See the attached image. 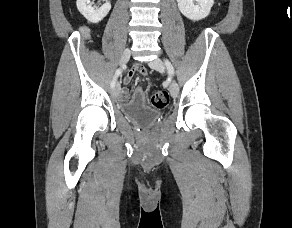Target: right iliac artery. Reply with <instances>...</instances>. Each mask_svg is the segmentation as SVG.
I'll return each mask as SVG.
<instances>
[{
	"instance_id": "82829eb1",
	"label": "right iliac artery",
	"mask_w": 292,
	"mask_h": 228,
	"mask_svg": "<svg viewBox=\"0 0 292 228\" xmlns=\"http://www.w3.org/2000/svg\"><path fill=\"white\" fill-rule=\"evenodd\" d=\"M122 71H123V68H119V69L116 70L115 75H114V77H113V79L111 81V84H110L111 88L115 87L116 80H117L118 76L121 75Z\"/></svg>"
}]
</instances>
